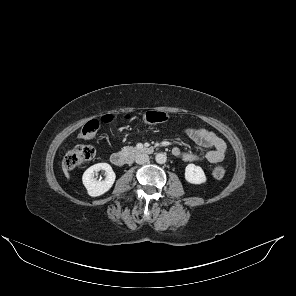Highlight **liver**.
<instances>
[{
    "instance_id": "liver-1",
    "label": "liver",
    "mask_w": 296,
    "mask_h": 296,
    "mask_svg": "<svg viewBox=\"0 0 296 296\" xmlns=\"http://www.w3.org/2000/svg\"><path fill=\"white\" fill-rule=\"evenodd\" d=\"M62 168H63V172H64L66 178L70 179V174H69L67 168L65 167L64 163L62 164Z\"/></svg>"
}]
</instances>
